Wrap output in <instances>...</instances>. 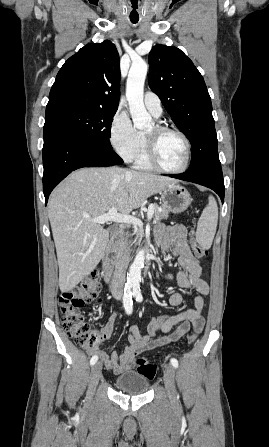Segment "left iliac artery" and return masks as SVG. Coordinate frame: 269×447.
Returning <instances> with one entry per match:
<instances>
[{"instance_id": "left-iliac-artery-1", "label": "left iliac artery", "mask_w": 269, "mask_h": 447, "mask_svg": "<svg viewBox=\"0 0 269 447\" xmlns=\"http://www.w3.org/2000/svg\"><path fill=\"white\" fill-rule=\"evenodd\" d=\"M133 297L136 299V301L138 302H142L143 297L141 294V290H140V284L139 283H134L133 284ZM171 364L177 368L178 367V361L175 358L171 359Z\"/></svg>"}]
</instances>
